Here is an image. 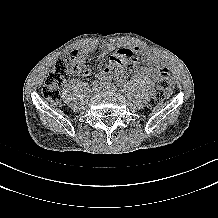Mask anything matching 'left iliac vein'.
Instances as JSON below:
<instances>
[{"mask_svg": "<svg viewBox=\"0 0 218 218\" xmlns=\"http://www.w3.org/2000/svg\"><path fill=\"white\" fill-rule=\"evenodd\" d=\"M103 90H109V91H115L117 88L113 84H107L105 83L102 85Z\"/></svg>", "mask_w": 218, "mask_h": 218, "instance_id": "left-iliac-vein-1", "label": "left iliac vein"}]
</instances>
